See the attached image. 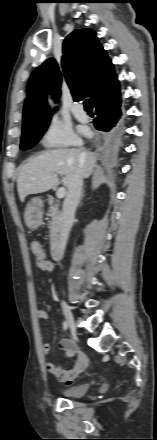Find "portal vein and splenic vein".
I'll return each instance as SVG.
<instances>
[{"instance_id":"18ae733b","label":"portal vein and splenic vein","mask_w":157,"mask_h":440,"mask_svg":"<svg viewBox=\"0 0 157 440\" xmlns=\"http://www.w3.org/2000/svg\"><path fill=\"white\" fill-rule=\"evenodd\" d=\"M65 195H66V189L64 187L59 188L56 193L57 198L62 199L65 197Z\"/></svg>"}]
</instances>
